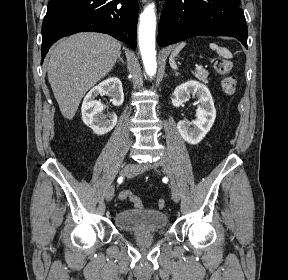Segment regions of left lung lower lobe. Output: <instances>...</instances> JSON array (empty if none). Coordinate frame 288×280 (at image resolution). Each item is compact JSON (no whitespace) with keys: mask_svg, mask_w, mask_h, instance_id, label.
Wrapping results in <instances>:
<instances>
[{"mask_svg":"<svg viewBox=\"0 0 288 280\" xmlns=\"http://www.w3.org/2000/svg\"><path fill=\"white\" fill-rule=\"evenodd\" d=\"M226 35L247 46V24L234 0H168L159 23L160 46L195 36Z\"/></svg>","mask_w":288,"mask_h":280,"instance_id":"left-lung-lower-lobe-1","label":"left lung lower lobe"}]
</instances>
